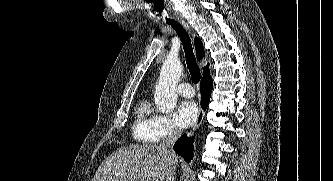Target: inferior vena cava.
I'll list each match as a JSON object with an SVG mask.
<instances>
[{"label":"inferior vena cava","mask_w":333,"mask_h":181,"mask_svg":"<svg viewBox=\"0 0 333 181\" xmlns=\"http://www.w3.org/2000/svg\"><path fill=\"white\" fill-rule=\"evenodd\" d=\"M182 130L178 127H173L170 131L169 135L163 140V142L160 144L161 147H163L171 156H175V153L173 151V145L175 144L176 140L181 136ZM174 170L175 168H172L167 175L166 181H174Z\"/></svg>","instance_id":"602c4592"}]
</instances>
